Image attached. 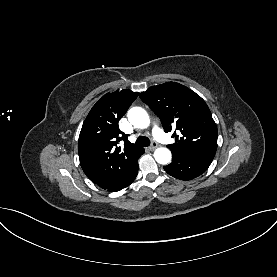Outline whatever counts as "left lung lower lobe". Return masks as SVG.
Instances as JSON below:
<instances>
[{"mask_svg": "<svg viewBox=\"0 0 277 277\" xmlns=\"http://www.w3.org/2000/svg\"><path fill=\"white\" fill-rule=\"evenodd\" d=\"M214 155L173 153L172 163L164 170L180 180H191L203 174L211 164Z\"/></svg>", "mask_w": 277, "mask_h": 277, "instance_id": "0a47b994", "label": "left lung lower lobe"}]
</instances>
